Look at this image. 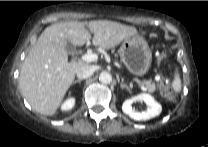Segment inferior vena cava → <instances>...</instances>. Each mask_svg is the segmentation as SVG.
Segmentation results:
<instances>
[{"instance_id": "obj_1", "label": "inferior vena cava", "mask_w": 208, "mask_h": 147, "mask_svg": "<svg viewBox=\"0 0 208 147\" xmlns=\"http://www.w3.org/2000/svg\"><path fill=\"white\" fill-rule=\"evenodd\" d=\"M97 67L94 65H86L77 71L78 79H86L94 74Z\"/></svg>"}]
</instances>
